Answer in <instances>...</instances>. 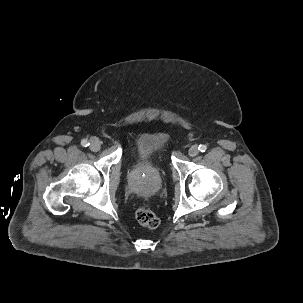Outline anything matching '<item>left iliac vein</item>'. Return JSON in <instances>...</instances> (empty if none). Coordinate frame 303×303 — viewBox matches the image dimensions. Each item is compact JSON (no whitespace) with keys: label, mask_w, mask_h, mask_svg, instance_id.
Segmentation results:
<instances>
[{"label":"left iliac vein","mask_w":303,"mask_h":303,"mask_svg":"<svg viewBox=\"0 0 303 303\" xmlns=\"http://www.w3.org/2000/svg\"><path fill=\"white\" fill-rule=\"evenodd\" d=\"M199 153L198 147L196 145H193L189 148L188 150V154L191 157L196 156Z\"/></svg>","instance_id":"left-iliac-vein-1"}]
</instances>
